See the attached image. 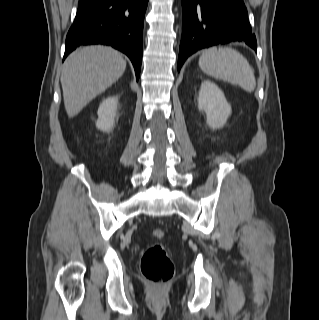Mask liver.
Returning a JSON list of instances; mask_svg holds the SVG:
<instances>
[{
  "mask_svg": "<svg viewBox=\"0 0 319 320\" xmlns=\"http://www.w3.org/2000/svg\"><path fill=\"white\" fill-rule=\"evenodd\" d=\"M126 61L107 46L75 50L64 62L61 85L66 113L76 116L90 101L115 83L124 73Z\"/></svg>",
  "mask_w": 319,
  "mask_h": 320,
  "instance_id": "1",
  "label": "liver"
}]
</instances>
